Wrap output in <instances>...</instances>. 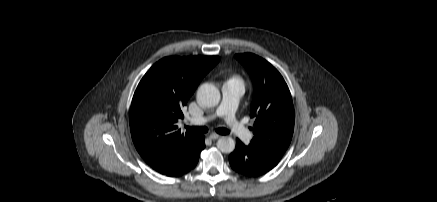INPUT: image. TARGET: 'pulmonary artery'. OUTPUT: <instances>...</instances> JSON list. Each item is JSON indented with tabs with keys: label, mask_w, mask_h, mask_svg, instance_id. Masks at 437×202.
<instances>
[{
	"label": "pulmonary artery",
	"mask_w": 437,
	"mask_h": 202,
	"mask_svg": "<svg viewBox=\"0 0 437 202\" xmlns=\"http://www.w3.org/2000/svg\"><path fill=\"white\" fill-rule=\"evenodd\" d=\"M244 93V84L238 78L227 80L222 87V100L215 112L208 116L199 117L192 120V123L205 124L216 117H223L231 132L243 141H249L252 133L237 119L236 110L238 102Z\"/></svg>",
	"instance_id": "1"
}]
</instances>
